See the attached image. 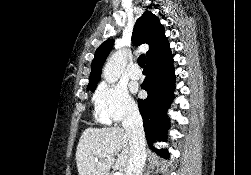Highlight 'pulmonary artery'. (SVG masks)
Segmentation results:
<instances>
[{"mask_svg": "<svg viewBox=\"0 0 251 175\" xmlns=\"http://www.w3.org/2000/svg\"><path fill=\"white\" fill-rule=\"evenodd\" d=\"M134 65H136V64H134ZM141 75H142V71L138 67H134L130 71V76L132 78H139V77H141Z\"/></svg>", "mask_w": 251, "mask_h": 175, "instance_id": "1", "label": "pulmonary artery"}]
</instances>
